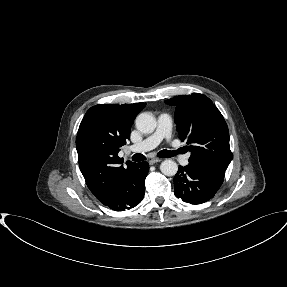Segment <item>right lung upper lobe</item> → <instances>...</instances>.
Returning a JSON list of instances; mask_svg holds the SVG:
<instances>
[{"instance_id": "obj_1", "label": "right lung upper lobe", "mask_w": 287, "mask_h": 287, "mask_svg": "<svg viewBox=\"0 0 287 287\" xmlns=\"http://www.w3.org/2000/svg\"><path fill=\"white\" fill-rule=\"evenodd\" d=\"M145 103L99 104L91 107L79 126L76 149L80 170L94 196L102 201L115 182L135 163L122 164L120 147L130 138V128Z\"/></svg>"}]
</instances>
